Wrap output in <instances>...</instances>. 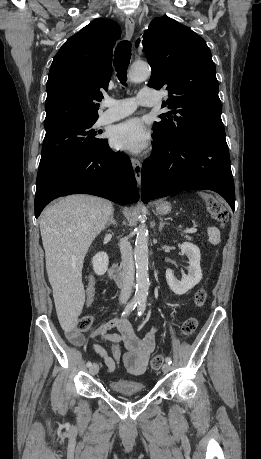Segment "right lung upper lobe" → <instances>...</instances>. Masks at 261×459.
<instances>
[{"instance_id": "1", "label": "right lung upper lobe", "mask_w": 261, "mask_h": 459, "mask_svg": "<svg viewBox=\"0 0 261 459\" xmlns=\"http://www.w3.org/2000/svg\"><path fill=\"white\" fill-rule=\"evenodd\" d=\"M119 26L96 19L70 37L56 54L47 81L45 128L72 120L98 118L97 101L108 90L112 48Z\"/></svg>"}]
</instances>
